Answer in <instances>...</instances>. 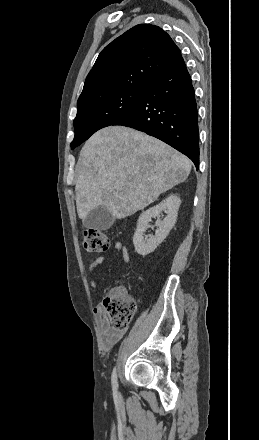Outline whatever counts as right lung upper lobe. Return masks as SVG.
Returning <instances> with one entry per match:
<instances>
[{
  "label": "right lung upper lobe",
  "instance_id": "right-lung-upper-lobe-1",
  "mask_svg": "<svg viewBox=\"0 0 259 440\" xmlns=\"http://www.w3.org/2000/svg\"><path fill=\"white\" fill-rule=\"evenodd\" d=\"M180 59V49L164 30L136 25L101 51L77 106L120 89L149 87Z\"/></svg>",
  "mask_w": 259,
  "mask_h": 440
}]
</instances>
